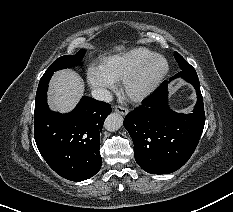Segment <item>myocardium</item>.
<instances>
[{
  "label": "myocardium",
  "mask_w": 233,
  "mask_h": 212,
  "mask_svg": "<svg viewBox=\"0 0 233 212\" xmlns=\"http://www.w3.org/2000/svg\"><path fill=\"white\" fill-rule=\"evenodd\" d=\"M155 60H162L164 62L163 70L157 77L148 85L141 89H134V84L143 73V71ZM169 72V62L161 54H154L147 58L130 71L123 79V91L126 97L133 102H141L148 98L160 86L164 78Z\"/></svg>",
  "instance_id": "myocardium-1"
}]
</instances>
